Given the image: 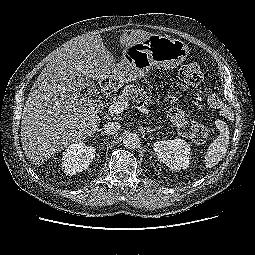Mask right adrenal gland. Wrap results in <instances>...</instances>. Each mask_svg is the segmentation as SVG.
<instances>
[{
    "instance_id": "1",
    "label": "right adrenal gland",
    "mask_w": 255,
    "mask_h": 255,
    "mask_svg": "<svg viewBox=\"0 0 255 255\" xmlns=\"http://www.w3.org/2000/svg\"><path fill=\"white\" fill-rule=\"evenodd\" d=\"M98 132H100L102 136H105V134H104V132L102 131V129H99Z\"/></svg>"
}]
</instances>
